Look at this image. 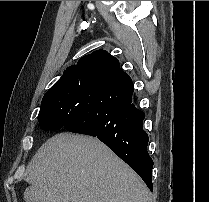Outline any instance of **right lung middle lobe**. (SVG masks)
I'll return each instance as SVG.
<instances>
[{
    "mask_svg": "<svg viewBox=\"0 0 209 202\" xmlns=\"http://www.w3.org/2000/svg\"><path fill=\"white\" fill-rule=\"evenodd\" d=\"M90 79L88 74L61 78L47 91L38 115L43 130L56 131L63 127L66 119L78 109L81 92Z\"/></svg>",
    "mask_w": 209,
    "mask_h": 202,
    "instance_id": "1",
    "label": "right lung middle lobe"
}]
</instances>
